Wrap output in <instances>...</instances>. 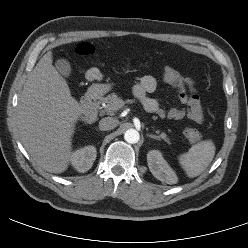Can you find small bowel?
<instances>
[{
  "mask_svg": "<svg viewBox=\"0 0 248 248\" xmlns=\"http://www.w3.org/2000/svg\"><path fill=\"white\" fill-rule=\"evenodd\" d=\"M86 78L89 81H98L103 78V75L98 68L93 67L86 72ZM156 88L157 81L150 75L142 77L133 88L134 95L141 101L146 111L171 120H181L187 117L195 123L203 122L202 102L196 93L195 84L191 78L184 77L182 84L178 87V100L185 108H164L158 98L150 96ZM188 91L191 94H188Z\"/></svg>",
  "mask_w": 248,
  "mask_h": 248,
  "instance_id": "obj_1",
  "label": "small bowel"
}]
</instances>
